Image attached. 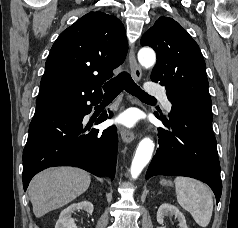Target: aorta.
<instances>
[{"mask_svg": "<svg viewBox=\"0 0 238 228\" xmlns=\"http://www.w3.org/2000/svg\"><path fill=\"white\" fill-rule=\"evenodd\" d=\"M138 61L141 66L146 69L153 67L156 62V54L154 50L149 47L140 49L138 52ZM154 146L153 140L149 137H145L139 142L130 169L133 179H136L144 167L149 163Z\"/></svg>", "mask_w": 238, "mask_h": 228, "instance_id": "obj_1", "label": "aorta"}]
</instances>
